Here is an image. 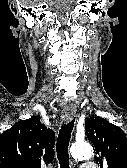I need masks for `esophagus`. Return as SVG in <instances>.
I'll use <instances>...</instances> for the list:
<instances>
[{
	"label": "esophagus",
	"instance_id": "esophagus-1",
	"mask_svg": "<svg viewBox=\"0 0 127 168\" xmlns=\"http://www.w3.org/2000/svg\"><path fill=\"white\" fill-rule=\"evenodd\" d=\"M76 116V109L74 107H67L64 109L61 116L62 121L69 122Z\"/></svg>",
	"mask_w": 127,
	"mask_h": 168
}]
</instances>
